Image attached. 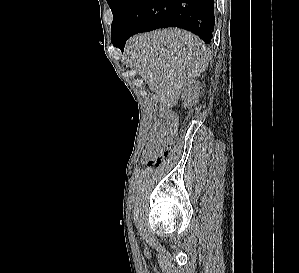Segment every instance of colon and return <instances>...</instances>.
<instances>
[{
    "mask_svg": "<svg viewBox=\"0 0 299 273\" xmlns=\"http://www.w3.org/2000/svg\"><path fill=\"white\" fill-rule=\"evenodd\" d=\"M176 132L177 121L173 118L155 125L145 151V158L149 166L156 165L167 157Z\"/></svg>",
    "mask_w": 299,
    "mask_h": 273,
    "instance_id": "obj_1",
    "label": "colon"
}]
</instances>
